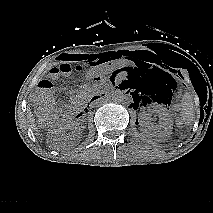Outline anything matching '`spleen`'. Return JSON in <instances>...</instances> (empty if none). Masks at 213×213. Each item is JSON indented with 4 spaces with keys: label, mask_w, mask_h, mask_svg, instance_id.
<instances>
[{
    "label": "spleen",
    "mask_w": 213,
    "mask_h": 213,
    "mask_svg": "<svg viewBox=\"0 0 213 213\" xmlns=\"http://www.w3.org/2000/svg\"><path fill=\"white\" fill-rule=\"evenodd\" d=\"M182 113L181 119L185 125H190L194 120V105L192 102V98L189 94H185L182 98Z\"/></svg>",
    "instance_id": "1"
}]
</instances>
